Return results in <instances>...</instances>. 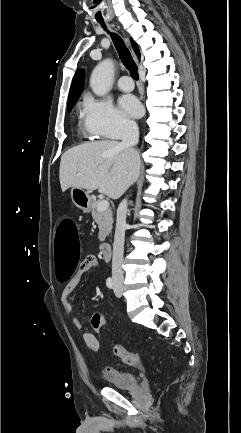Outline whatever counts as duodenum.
<instances>
[{
    "label": "duodenum",
    "instance_id": "410a0bca",
    "mask_svg": "<svg viewBox=\"0 0 241 433\" xmlns=\"http://www.w3.org/2000/svg\"><path fill=\"white\" fill-rule=\"evenodd\" d=\"M100 253L105 261L110 260L112 254V246L110 243H102L100 245Z\"/></svg>",
    "mask_w": 241,
    "mask_h": 433
}]
</instances>
